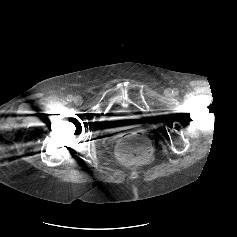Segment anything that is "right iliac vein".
I'll return each instance as SVG.
<instances>
[{"instance_id": "1", "label": "right iliac vein", "mask_w": 237, "mask_h": 237, "mask_svg": "<svg viewBox=\"0 0 237 237\" xmlns=\"http://www.w3.org/2000/svg\"><path fill=\"white\" fill-rule=\"evenodd\" d=\"M73 101L76 105H81L83 103V99L80 96L74 97Z\"/></svg>"}]
</instances>
